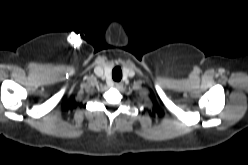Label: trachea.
Masks as SVG:
<instances>
[{"instance_id": "trachea-1", "label": "trachea", "mask_w": 248, "mask_h": 165, "mask_svg": "<svg viewBox=\"0 0 248 165\" xmlns=\"http://www.w3.org/2000/svg\"><path fill=\"white\" fill-rule=\"evenodd\" d=\"M112 78L114 81L119 82L122 79V70L119 66H116L112 70Z\"/></svg>"}]
</instances>
